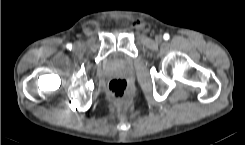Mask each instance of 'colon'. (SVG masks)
<instances>
[{
    "label": "colon",
    "instance_id": "5ec220e1",
    "mask_svg": "<svg viewBox=\"0 0 245 145\" xmlns=\"http://www.w3.org/2000/svg\"><path fill=\"white\" fill-rule=\"evenodd\" d=\"M136 26L141 30H146L148 26L145 23H137ZM109 95L116 101H127L132 96V86L125 79H114L108 85Z\"/></svg>",
    "mask_w": 245,
    "mask_h": 145
}]
</instances>
